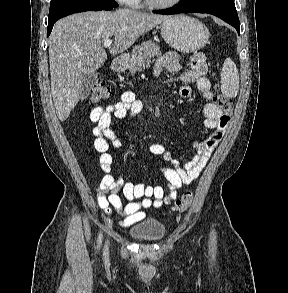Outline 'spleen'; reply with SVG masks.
<instances>
[{"mask_svg":"<svg viewBox=\"0 0 288 293\" xmlns=\"http://www.w3.org/2000/svg\"><path fill=\"white\" fill-rule=\"evenodd\" d=\"M239 90L238 69L232 59L227 58L221 71V92L229 98L237 96Z\"/></svg>","mask_w":288,"mask_h":293,"instance_id":"3e777b00","label":"spleen"}]
</instances>
